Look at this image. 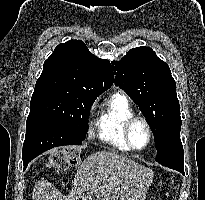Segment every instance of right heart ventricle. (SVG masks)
Masks as SVG:
<instances>
[{
    "label": "right heart ventricle",
    "instance_id": "obj_1",
    "mask_svg": "<svg viewBox=\"0 0 205 200\" xmlns=\"http://www.w3.org/2000/svg\"><path fill=\"white\" fill-rule=\"evenodd\" d=\"M134 115L135 112L123 93L112 94L104 102L96 121L98 138L121 151L131 150L124 139L123 127L125 122Z\"/></svg>",
    "mask_w": 205,
    "mask_h": 200
}]
</instances>
